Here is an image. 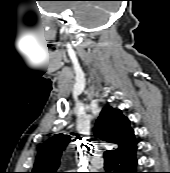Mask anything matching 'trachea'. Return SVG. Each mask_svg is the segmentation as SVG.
<instances>
[{
    "mask_svg": "<svg viewBox=\"0 0 170 173\" xmlns=\"http://www.w3.org/2000/svg\"><path fill=\"white\" fill-rule=\"evenodd\" d=\"M112 151L111 150H107L104 152V159L105 161H112Z\"/></svg>",
    "mask_w": 170,
    "mask_h": 173,
    "instance_id": "obj_1",
    "label": "trachea"
}]
</instances>
